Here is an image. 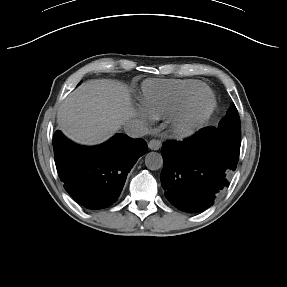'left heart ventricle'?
Returning a JSON list of instances; mask_svg holds the SVG:
<instances>
[{"label": "left heart ventricle", "instance_id": "b2bd125f", "mask_svg": "<svg viewBox=\"0 0 287 287\" xmlns=\"http://www.w3.org/2000/svg\"><path fill=\"white\" fill-rule=\"evenodd\" d=\"M208 105V98L206 97H202L200 98L194 105L193 107V113L194 114H198L200 113L201 111H203L206 106Z\"/></svg>", "mask_w": 287, "mask_h": 287}]
</instances>
